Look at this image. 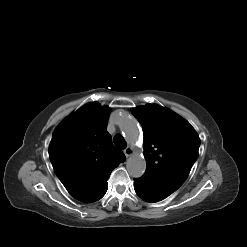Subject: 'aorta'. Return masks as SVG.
<instances>
[{
  "label": "aorta",
  "instance_id": "aorta-1",
  "mask_svg": "<svg viewBox=\"0 0 247 247\" xmlns=\"http://www.w3.org/2000/svg\"><path fill=\"white\" fill-rule=\"evenodd\" d=\"M121 132L131 146H136L140 141V132L137 120L130 114L123 113L118 117ZM129 174L134 178L141 177L146 169V161L142 155L133 154L126 164Z\"/></svg>",
  "mask_w": 247,
  "mask_h": 247
}]
</instances>
